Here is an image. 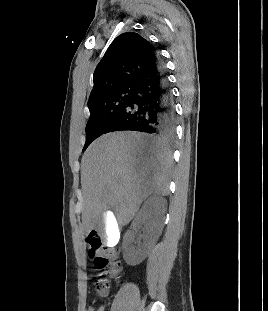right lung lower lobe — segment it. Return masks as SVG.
Segmentation results:
<instances>
[{"instance_id":"obj_1","label":"right lung lower lobe","mask_w":268,"mask_h":311,"mask_svg":"<svg viewBox=\"0 0 268 311\" xmlns=\"http://www.w3.org/2000/svg\"><path fill=\"white\" fill-rule=\"evenodd\" d=\"M133 89L130 101L108 132L140 131L172 141L176 113L165 69L158 56L154 65L133 85Z\"/></svg>"}]
</instances>
